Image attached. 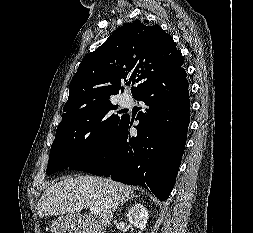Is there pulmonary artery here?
Instances as JSON below:
<instances>
[{
	"label": "pulmonary artery",
	"instance_id": "e3ab8cb5",
	"mask_svg": "<svg viewBox=\"0 0 253 233\" xmlns=\"http://www.w3.org/2000/svg\"><path fill=\"white\" fill-rule=\"evenodd\" d=\"M122 105H123V106H127V105H129V102H128V101L123 100V101H122Z\"/></svg>",
	"mask_w": 253,
	"mask_h": 233
}]
</instances>
